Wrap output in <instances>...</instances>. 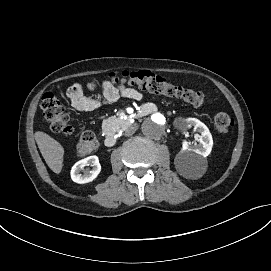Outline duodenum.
<instances>
[{
    "label": "duodenum",
    "mask_w": 271,
    "mask_h": 271,
    "mask_svg": "<svg viewBox=\"0 0 271 271\" xmlns=\"http://www.w3.org/2000/svg\"><path fill=\"white\" fill-rule=\"evenodd\" d=\"M104 142L107 147H113L116 144L117 139L114 134H107Z\"/></svg>",
    "instance_id": "duodenum-1"
}]
</instances>
